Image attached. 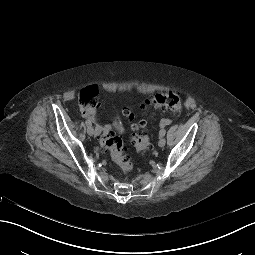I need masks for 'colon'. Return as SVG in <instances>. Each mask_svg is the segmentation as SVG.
<instances>
[{
    "label": "colon",
    "instance_id": "colon-1",
    "mask_svg": "<svg viewBox=\"0 0 255 255\" xmlns=\"http://www.w3.org/2000/svg\"><path fill=\"white\" fill-rule=\"evenodd\" d=\"M146 105H151L164 112L179 114L182 108L181 99L178 94L173 92L158 93L145 101ZM79 105L81 111L89 117H93L98 106L97 89L87 87L79 94ZM125 115L131 117L132 114L126 110ZM144 123L133 125L135 131L144 128ZM131 142L139 152H145L150 149L151 143L148 134L132 133ZM100 143L104 148L111 152L113 161L119 166L123 174H129L133 170V163L128 154H125L122 147L121 138L115 134L110 126L103 129Z\"/></svg>",
    "mask_w": 255,
    "mask_h": 255
}]
</instances>
